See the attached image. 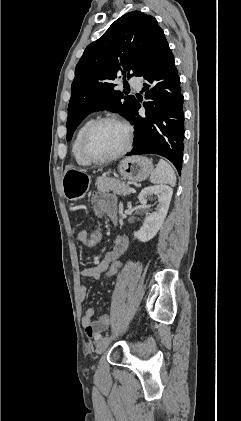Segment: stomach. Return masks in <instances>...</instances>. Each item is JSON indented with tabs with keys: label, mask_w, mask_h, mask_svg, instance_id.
Masks as SVG:
<instances>
[{
	"label": "stomach",
	"mask_w": 241,
	"mask_h": 421,
	"mask_svg": "<svg viewBox=\"0 0 241 421\" xmlns=\"http://www.w3.org/2000/svg\"><path fill=\"white\" fill-rule=\"evenodd\" d=\"M124 179L139 182L145 180L153 171L152 161L144 156L126 157L118 164ZM90 176L81 169L68 168L62 178V190L67 200H79L89 190Z\"/></svg>",
	"instance_id": "stomach-1"
}]
</instances>
